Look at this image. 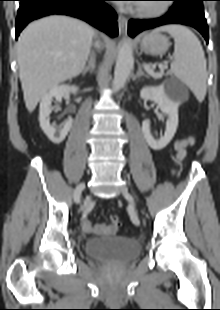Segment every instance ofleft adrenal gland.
I'll return each instance as SVG.
<instances>
[{"label":"left adrenal gland","mask_w":220,"mask_h":310,"mask_svg":"<svg viewBox=\"0 0 220 310\" xmlns=\"http://www.w3.org/2000/svg\"><path fill=\"white\" fill-rule=\"evenodd\" d=\"M142 76L148 77V76L143 72L142 66L139 64V66H138V71H137V73H136V77H137V78H140V77H142Z\"/></svg>","instance_id":"1"}]
</instances>
